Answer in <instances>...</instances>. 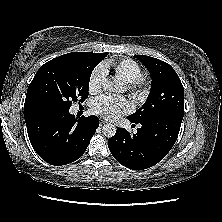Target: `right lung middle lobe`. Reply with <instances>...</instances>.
<instances>
[{
	"instance_id": "1",
	"label": "right lung middle lobe",
	"mask_w": 222,
	"mask_h": 222,
	"mask_svg": "<svg viewBox=\"0 0 222 222\" xmlns=\"http://www.w3.org/2000/svg\"><path fill=\"white\" fill-rule=\"evenodd\" d=\"M108 53L73 52L45 63L30 83L25 103L36 113L69 110L88 97L93 69Z\"/></svg>"
}]
</instances>
